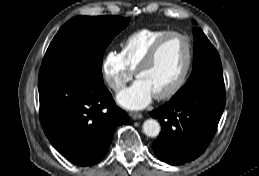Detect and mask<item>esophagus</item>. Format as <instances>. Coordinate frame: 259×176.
<instances>
[{"mask_svg":"<svg viewBox=\"0 0 259 176\" xmlns=\"http://www.w3.org/2000/svg\"><path fill=\"white\" fill-rule=\"evenodd\" d=\"M130 117L134 120L142 119L143 115L141 113L131 112Z\"/></svg>","mask_w":259,"mask_h":176,"instance_id":"obj_1","label":"esophagus"}]
</instances>
